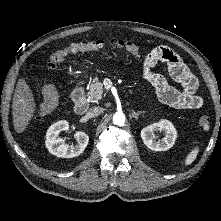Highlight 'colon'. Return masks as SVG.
<instances>
[{"instance_id":"5ec220e1","label":"colon","mask_w":221,"mask_h":221,"mask_svg":"<svg viewBox=\"0 0 221 221\" xmlns=\"http://www.w3.org/2000/svg\"><path fill=\"white\" fill-rule=\"evenodd\" d=\"M116 49L125 50L126 52L141 57L142 51L139 45L126 40H112L109 44ZM107 44L104 41H79L73 42L66 47L55 51L49 58L47 67L49 69L57 68L69 54L97 52L103 50ZM41 92L44 101L39 109V116H44L53 110L59 103V91L53 85H43ZM199 126L202 130L208 131L211 128V119L208 115H204L199 120Z\"/></svg>"}]
</instances>
